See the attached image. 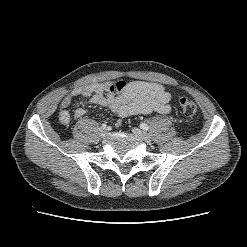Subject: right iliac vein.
<instances>
[{"label":"right iliac vein","instance_id":"63e3f726","mask_svg":"<svg viewBox=\"0 0 247 247\" xmlns=\"http://www.w3.org/2000/svg\"><path fill=\"white\" fill-rule=\"evenodd\" d=\"M107 134V129L106 128H100V136L105 137Z\"/></svg>","mask_w":247,"mask_h":247}]
</instances>
